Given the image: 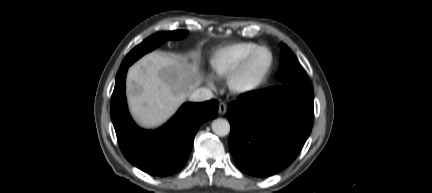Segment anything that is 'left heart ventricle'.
Wrapping results in <instances>:
<instances>
[{"label":"left heart ventricle","instance_id":"b2bd125f","mask_svg":"<svg viewBox=\"0 0 432 193\" xmlns=\"http://www.w3.org/2000/svg\"><path fill=\"white\" fill-rule=\"evenodd\" d=\"M269 62H270V55L268 51L263 50L259 52L250 63L244 75V79L247 81H253L261 77L266 71Z\"/></svg>","mask_w":432,"mask_h":193}]
</instances>
